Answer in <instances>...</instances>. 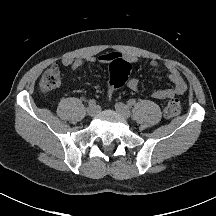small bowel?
I'll return each mask as SVG.
<instances>
[{
    "label": "small bowel",
    "instance_id": "c3829d8e",
    "mask_svg": "<svg viewBox=\"0 0 216 216\" xmlns=\"http://www.w3.org/2000/svg\"><path fill=\"white\" fill-rule=\"evenodd\" d=\"M86 61L91 63L105 64V65H111L121 61H125L130 64H133L139 61V57L134 54H124V53L112 51V52L104 53L97 57H90L86 60L64 58L62 60V64L64 66L70 67L71 70L76 71L77 69L82 67ZM151 64L153 66H158L156 60H151ZM53 67H57V66H53ZM165 68H166V75L172 85L169 88L157 89L151 92L152 97L159 100H165V99L172 98L174 96L182 95L187 91L186 82L182 78L177 68L170 63H166ZM139 84L140 83L138 78H132L128 81L127 87L132 91H137L139 89Z\"/></svg>",
    "mask_w": 216,
    "mask_h": 216
}]
</instances>
